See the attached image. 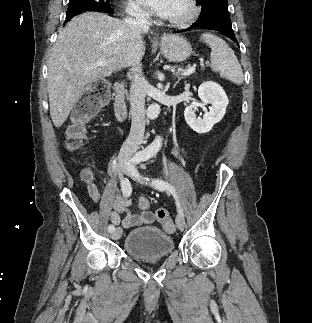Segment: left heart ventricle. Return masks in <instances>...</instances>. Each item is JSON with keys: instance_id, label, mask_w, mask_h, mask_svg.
Listing matches in <instances>:
<instances>
[{"instance_id": "left-heart-ventricle-1", "label": "left heart ventricle", "mask_w": 312, "mask_h": 323, "mask_svg": "<svg viewBox=\"0 0 312 323\" xmlns=\"http://www.w3.org/2000/svg\"><path fill=\"white\" fill-rule=\"evenodd\" d=\"M169 9H174V14H189V2L187 0H171Z\"/></svg>"}]
</instances>
